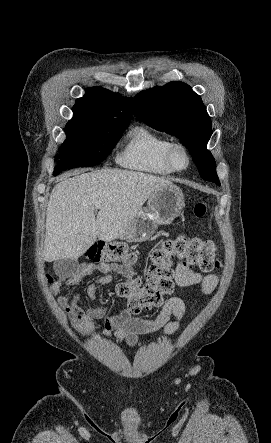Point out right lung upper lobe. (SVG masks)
<instances>
[{"instance_id": "cb5924a9", "label": "right lung upper lobe", "mask_w": 271, "mask_h": 443, "mask_svg": "<svg viewBox=\"0 0 271 443\" xmlns=\"http://www.w3.org/2000/svg\"><path fill=\"white\" fill-rule=\"evenodd\" d=\"M73 119L83 118H130L132 98L119 97L103 87L86 90L82 98L76 100L73 107Z\"/></svg>"}]
</instances>
